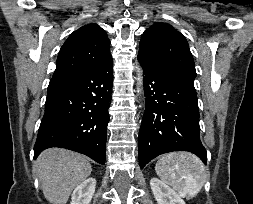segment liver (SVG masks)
Listing matches in <instances>:
<instances>
[{
	"mask_svg": "<svg viewBox=\"0 0 253 204\" xmlns=\"http://www.w3.org/2000/svg\"><path fill=\"white\" fill-rule=\"evenodd\" d=\"M34 168L44 197L52 204H66L72 191L92 171L87 157L61 148L43 151Z\"/></svg>",
	"mask_w": 253,
	"mask_h": 204,
	"instance_id": "1",
	"label": "liver"
}]
</instances>
